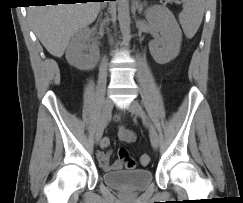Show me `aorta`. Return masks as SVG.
<instances>
[{"instance_id":"762f6f07","label":"aorta","mask_w":243,"mask_h":203,"mask_svg":"<svg viewBox=\"0 0 243 203\" xmlns=\"http://www.w3.org/2000/svg\"><path fill=\"white\" fill-rule=\"evenodd\" d=\"M118 20L124 39H129L131 30L128 0H118Z\"/></svg>"}]
</instances>
